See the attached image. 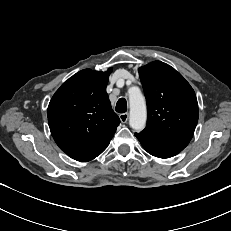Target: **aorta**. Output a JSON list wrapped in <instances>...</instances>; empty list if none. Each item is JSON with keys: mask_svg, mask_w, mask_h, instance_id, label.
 I'll return each mask as SVG.
<instances>
[{"mask_svg": "<svg viewBox=\"0 0 231 231\" xmlns=\"http://www.w3.org/2000/svg\"><path fill=\"white\" fill-rule=\"evenodd\" d=\"M129 124L135 131H141L146 125L147 111L145 98L137 87L129 90Z\"/></svg>", "mask_w": 231, "mask_h": 231, "instance_id": "aorta-1", "label": "aorta"}]
</instances>
